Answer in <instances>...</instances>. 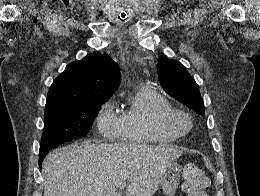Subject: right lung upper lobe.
<instances>
[{"mask_svg":"<svg viewBox=\"0 0 260 196\" xmlns=\"http://www.w3.org/2000/svg\"><path fill=\"white\" fill-rule=\"evenodd\" d=\"M121 81L118 65L106 54L93 53L66 66L52 83L46 106L109 99Z\"/></svg>","mask_w":260,"mask_h":196,"instance_id":"cb5924a9","label":"right lung upper lobe"}]
</instances>
